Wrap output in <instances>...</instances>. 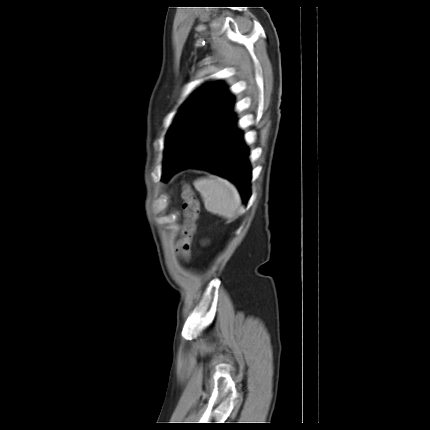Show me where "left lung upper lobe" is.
<instances>
[{"instance_id": "left-lung-upper-lobe-1", "label": "left lung upper lobe", "mask_w": 430, "mask_h": 430, "mask_svg": "<svg viewBox=\"0 0 430 430\" xmlns=\"http://www.w3.org/2000/svg\"><path fill=\"white\" fill-rule=\"evenodd\" d=\"M233 97L221 83L208 84L195 92L176 117L167 135L165 159L170 157L191 136L198 124L211 115L234 120Z\"/></svg>"}]
</instances>
